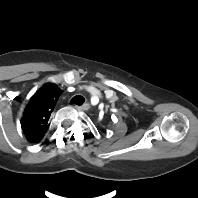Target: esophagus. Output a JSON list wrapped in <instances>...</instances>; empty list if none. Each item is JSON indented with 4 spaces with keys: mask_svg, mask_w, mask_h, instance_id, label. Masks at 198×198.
<instances>
[{
    "mask_svg": "<svg viewBox=\"0 0 198 198\" xmlns=\"http://www.w3.org/2000/svg\"><path fill=\"white\" fill-rule=\"evenodd\" d=\"M74 107L77 108V109H79V110L85 111V110H88L90 108V104L85 103V104H83L81 106L75 105Z\"/></svg>",
    "mask_w": 198,
    "mask_h": 198,
    "instance_id": "obj_1",
    "label": "esophagus"
}]
</instances>
